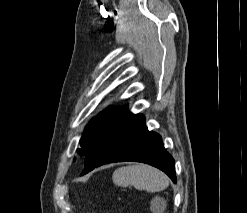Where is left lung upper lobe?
<instances>
[{
  "instance_id": "5c2ea615",
  "label": "left lung upper lobe",
  "mask_w": 247,
  "mask_h": 213,
  "mask_svg": "<svg viewBox=\"0 0 247 213\" xmlns=\"http://www.w3.org/2000/svg\"><path fill=\"white\" fill-rule=\"evenodd\" d=\"M126 111L127 106L109 108L100 113L97 118L92 119L86 126L85 133L80 139V148L77 150V153L80 156H85L93 142L107 131Z\"/></svg>"
}]
</instances>
